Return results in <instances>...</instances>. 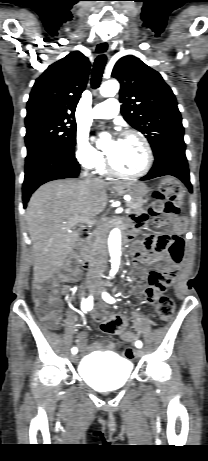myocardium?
<instances>
[{
    "mask_svg": "<svg viewBox=\"0 0 208 461\" xmlns=\"http://www.w3.org/2000/svg\"><path fill=\"white\" fill-rule=\"evenodd\" d=\"M131 136L136 137L142 143L145 154H146L145 165L139 172L129 174V173H124V172L117 170L112 164L109 155L106 153V168L109 171V173L115 176L121 177V178H125V179H136V178H141L145 176L152 168L153 160H154L151 145L149 141L147 140V138L141 132L136 131V130H126L122 132L121 134V137H131Z\"/></svg>",
    "mask_w": 208,
    "mask_h": 461,
    "instance_id": "myocardium-1",
    "label": "myocardium"
}]
</instances>
